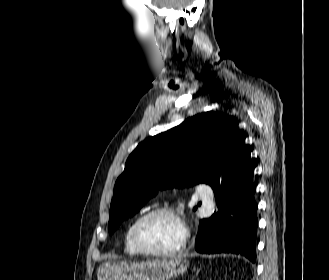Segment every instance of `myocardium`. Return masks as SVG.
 I'll return each instance as SVG.
<instances>
[{"mask_svg":"<svg viewBox=\"0 0 329 280\" xmlns=\"http://www.w3.org/2000/svg\"><path fill=\"white\" fill-rule=\"evenodd\" d=\"M159 214H167V215L172 216L173 218L176 219V221L178 222V224L181 228V231H182L181 241L174 248H171L168 250H154V249L146 247L140 240L139 233H140V229H141L142 225L149 218H151L155 215H159ZM131 238H132L133 245L139 251V253L147 255V256H152V257H169V256L179 254L180 252H182L185 249V247L188 243V239H189V232L184 223V220L182 219L180 212L177 209L170 207V206H159V207H155V208L145 212L140 217H138V219L136 220V222L133 225L132 232H131Z\"/></svg>","mask_w":329,"mask_h":280,"instance_id":"f54148a6","label":"myocardium"}]
</instances>
